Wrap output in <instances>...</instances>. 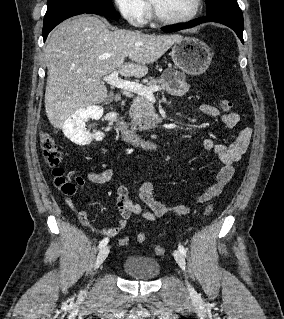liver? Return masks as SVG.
Here are the masks:
<instances>
[{
    "instance_id": "1",
    "label": "liver",
    "mask_w": 284,
    "mask_h": 319,
    "mask_svg": "<svg viewBox=\"0 0 284 319\" xmlns=\"http://www.w3.org/2000/svg\"><path fill=\"white\" fill-rule=\"evenodd\" d=\"M182 36L110 31L96 16L67 20L50 34L45 48L48 76L45 111L49 122L63 128L77 110L102 103L107 88L101 78L114 70L137 78ZM129 57L131 62L125 63Z\"/></svg>"
}]
</instances>
